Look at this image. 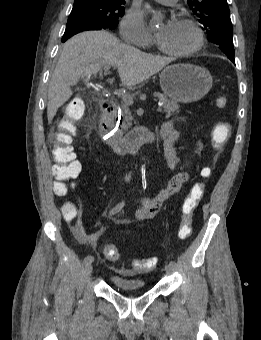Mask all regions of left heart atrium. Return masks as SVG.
I'll list each match as a JSON object with an SVG mask.
<instances>
[{"label":"left heart atrium","mask_w":261,"mask_h":340,"mask_svg":"<svg viewBox=\"0 0 261 340\" xmlns=\"http://www.w3.org/2000/svg\"><path fill=\"white\" fill-rule=\"evenodd\" d=\"M176 23L177 22L173 19L168 20L164 26V31L165 32L171 31L175 27Z\"/></svg>","instance_id":"39dd6f15"}]
</instances>
